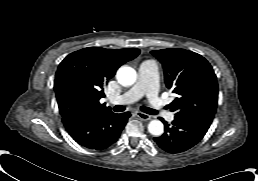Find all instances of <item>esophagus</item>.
I'll return each instance as SVG.
<instances>
[{"instance_id":"obj_1","label":"esophagus","mask_w":258,"mask_h":181,"mask_svg":"<svg viewBox=\"0 0 258 181\" xmlns=\"http://www.w3.org/2000/svg\"><path fill=\"white\" fill-rule=\"evenodd\" d=\"M136 115L139 119L143 120V121H148L151 119V116L146 114V113H143V112H136Z\"/></svg>"}]
</instances>
